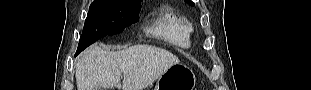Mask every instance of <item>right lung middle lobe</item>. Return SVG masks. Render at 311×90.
<instances>
[{"instance_id":"obj_1","label":"right lung middle lobe","mask_w":311,"mask_h":90,"mask_svg":"<svg viewBox=\"0 0 311 90\" xmlns=\"http://www.w3.org/2000/svg\"><path fill=\"white\" fill-rule=\"evenodd\" d=\"M140 3L120 0L94 1L89 8L77 54L98 39L123 32L131 24L138 21Z\"/></svg>"}]
</instances>
